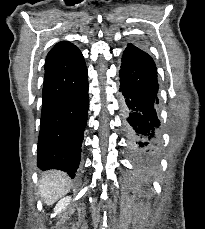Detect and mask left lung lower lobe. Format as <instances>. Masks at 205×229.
Here are the masks:
<instances>
[{"label": "left lung lower lobe", "mask_w": 205, "mask_h": 229, "mask_svg": "<svg viewBox=\"0 0 205 229\" xmlns=\"http://www.w3.org/2000/svg\"><path fill=\"white\" fill-rule=\"evenodd\" d=\"M120 100L124 129L134 153L157 158L161 140L157 115L159 84L152 57L129 43L119 70Z\"/></svg>", "instance_id": "0a47b994"}]
</instances>
